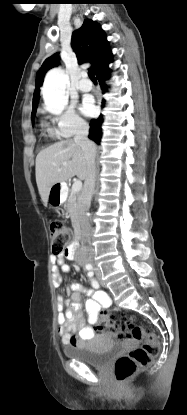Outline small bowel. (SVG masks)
<instances>
[{
  "instance_id": "1",
  "label": "small bowel",
  "mask_w": 187,
  "mask_h": 415,
  "mask_svg": "<svg viewBox=\"0 0 187 415\" xmlns=\"http://www.w3.org/2000/svg\"><path fill=\"white\" fill-rule=\"evenodd\" d=\"M67 254L53 256V277L55 285L62 282L61 274L68 273L70 266L66 263ZM70 298L68 301L63 296L57 297L59 335L64 345L81 346L88 350L98 352L108 348L112 344V337L97 333L93 325L99 320L101 308L110 305V298L104 291L87 289L81 283L74 282L68 288ZM83 294L90 296L85 301V310L88 315L86 322L81 313ZM77 331V333H75Z\"/></svg>"
}]
</instances>
